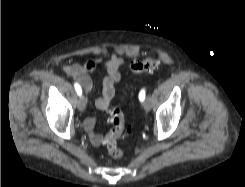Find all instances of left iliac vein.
<instances>
[{
	"label": "left iliac vein",
	"mask_w": 245,
	"mask_h": 187,
	"mask_svg": "<svg viewBox=\"0 0 245 187\" xmlns=\"http://www.w3.org/2000/svg\"><path fill=\"white\" fill-rule=\"evenodd\" d=\"M143 108L145 109V111H150V109H151V100L149 98H147L144 101Z\"/></svg>",
	"instance_id": "1"
}]
</instances>
